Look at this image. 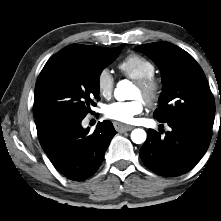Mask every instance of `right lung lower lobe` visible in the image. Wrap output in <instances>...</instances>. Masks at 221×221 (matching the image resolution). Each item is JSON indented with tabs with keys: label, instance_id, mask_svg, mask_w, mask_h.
Returning a JSON list of instances; mask_svg holds the SVG:
<instances>
[{
	"label": "right lung lower lobe",
	"instance_id": "98d812e1",
	"mask_svg": "<svg viewBox=\"0 0 221 221\" xmlns=\"http://www.w3.org/2000/svg\"><path fill=\"white\" fill-rule=\"evenodd\" d=\"M82 120L66 123L40 141L55 168L72 181H84L98 170L116 134L110 121L98 123L89 133V128L81 126Z\"/></svg>",
	"mask_w": 221,
	"mask_h": 221
}]
</instances>
